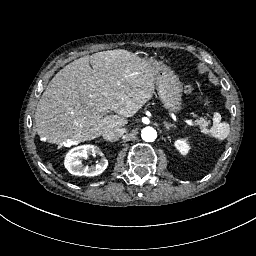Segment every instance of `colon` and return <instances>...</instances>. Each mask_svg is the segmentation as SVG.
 <instances>
[{"mask_svg": "<svg viewBox=\"0 0 256 256\" xmlns=\"http://www.w3.org/2000/svg\"><path fill=\"white\" fill-rule=\"evenodd\" d=\"M186 90L189 91V92H193V87L191 85H187L186 86ZM199 99L203 103H207L208 102V97L206 95H199Z\"/></svg>", "mask_w": 256, "mask_h": 256, "instance_id": "5ec220e1", "label": "colon"}]
</instances>
